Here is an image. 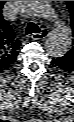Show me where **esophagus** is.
I'll return each mask as SVG.
<instances>
[{
    "label": "esophagus",
    "mask_w": 74,
    "mask_h": 122,
    "mask_svg": "<svg viewBox=\"0 0 74 122\" xmlns=\"http://www.w3.org/2000/svg\"><path fill=\"white\" fill-rule=\"evenodd\" d=\"M48 35V31L46 29H43L40 33H34L31 35V38L34 40H42L45 39Z\"/></svg>",
    "instance_id": "34e87169"
}]
</instances>
